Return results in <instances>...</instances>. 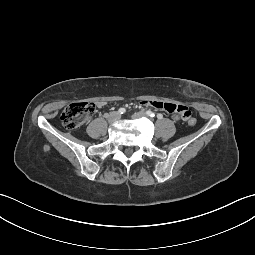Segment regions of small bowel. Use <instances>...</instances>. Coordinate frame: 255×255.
Segmentation results:
<instances>
[{
  "label": "small bowel",
  "mask_w": 255,
  "mask_h": 255,
  "mask_svg": "<svg viewBox=\"0 0 255 255\" xmlns=\"http://www.w3.org/2000/svg\"><path fill=\"white\" fill-rule=\"evenodd\" d=\"M104 104V102H98V107H102ZM141 104L143 106H150L157 110L170 113L175 120H187L191 115L189 108H187L185 105H177L153 100H144L141 102Z\"/></svg>",
  "instance_id": "1"
}]
</instances>
